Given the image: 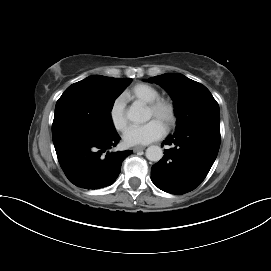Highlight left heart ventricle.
Returning a JSON list of instances; mask_svg holds the SVG:
<instances>
[{
	"mask_svg": "<svg viewBox=\"0 0 271 271\" xmlns=\"http://www.w3.org/2000/svg\"><path fill=\"white\" fill-rule=\"evenodd\" d=\"M147 118H148V119L154 118V119L158 120L159 122H161V123L164 125V118H163V116H162V115L156 116V115H154L153 112H152L151 110H149V109H147Z\"/></svg>",
	"mask_w": 271,
	"mask_h": 271,
	"instance_id": "left-heart-ventricle-1",
	"label": "left heart ventricle"
}]
</instances>
